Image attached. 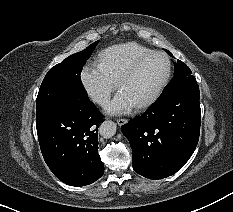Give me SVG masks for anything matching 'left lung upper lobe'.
Instances as JSON below:
<instances>
[{
  "mask_svg": "<svg viewBox=\"0 0 233 212\" xmlns=\"http://www.w3.org/2000/svg\"><path fill=\"white\" fill-rule=\"evenodd\" d=\"M170 56L173 57L172 53L168 50H165ZM174 77L170 81V83L164 88L162 94H168L174 88L183 85V84H196V79L192 75L189 67L180 60L174 63Z\"/></svg>",
  "mask_w": 233,
  "mask_h": 212,
  "instance_id": "obj_1",
  "label": "left lung upper lobe"
}]
</instances>
